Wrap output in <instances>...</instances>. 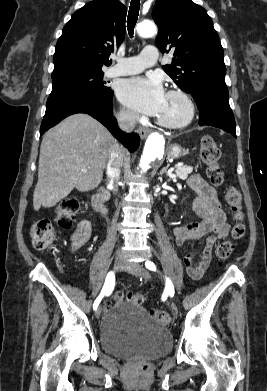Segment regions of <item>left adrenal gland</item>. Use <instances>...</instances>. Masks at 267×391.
<instances>
[{
  "instance_id": "left-adrenal-gland-1",
  "label": "left adrenal gland",
  "mask_w": 267,
  "mask_h": 391,
  "mask_svg": "<svg viewBox=\"0 0 267 391\" xmlns=\"http://www.w3.org/2000/svg\"><path fill=\"white\" fill-rule=\"evenodd\" d=\"M168 167H169V164H167L166 167L162 168V170L160 171V175H161V176H162L163 174H167V176H168V173H167Z\"/></svg>"
}]
</instances>
